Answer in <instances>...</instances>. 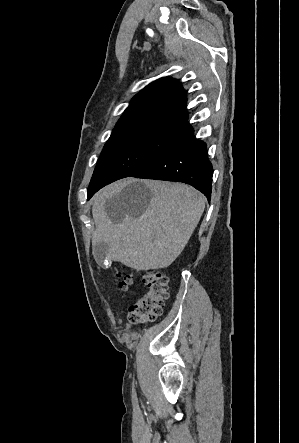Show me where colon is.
I'll return each instance as SVG.
<instances>
[{"label": "colon", "instance_id": "obj_1", "mask_svg": "<svg viewBox=\"0 0 299 443\" xmlns=\"http://www.w3.org/2000/svg\"><path fill=\"white\" fill-rule=\"evenodd\" d=\"M146 285L145 293L138 297L128 308V319L131 324H141L156 320L163 311L167 293V278L159 271H151L143 276ZM132 284V277L118 274V287L127 290Z\"/></svg>", "mask_w": 299, "mask_h": 443}]
</instances>
